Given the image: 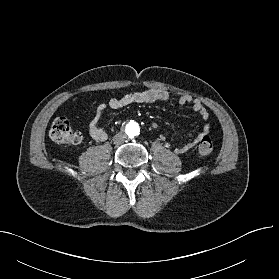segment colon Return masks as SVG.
<instances>
[{"label": "colon", "mask_w": 279, "mask_h": 279, "mask_svg": "<svg viewBox=\"0 0 279 279\" xmlns=\"http://www.w3.org/2000/svg\"><path fill=\"white\" fill-rule=\"evenodd\" d=\"M52 141L65 146H76L81 143L83 136L79 131L72 129L69 121L65 117H59L54 120L49 131ZM213 150L212 140L208 135H204L199 143L197 154L199 156H207Z\"/></svg>", "instance_id": "5ec220e1"}]
</instances>
